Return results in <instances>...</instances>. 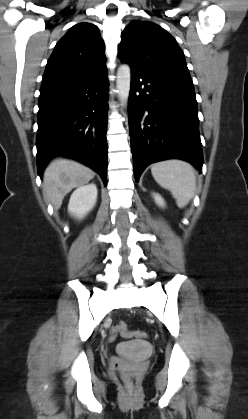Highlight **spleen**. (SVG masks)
<instances>
[{
    "label": "spleen",
    "mask_w": 248,
    "mask_h": 419,
    "mask_svg": "<svg viewBox=\"0 0 248 419\" xmlns=\"http://www.w3.org/2000/svg\"><path fill=\"white\" fill-rule=\"evenodd\" d=\"M151 173L155 181L171 191L179 208H184L194 197L196 176L193 167L182 160H166L153 164Z\"/></svg>",
    "instance_id": "spleen-1"
}]
</instances>
